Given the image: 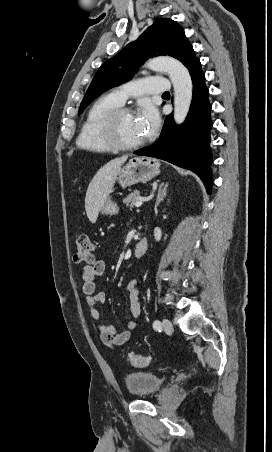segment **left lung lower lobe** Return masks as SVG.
<instances>
[{
  "mask_svg": "<svg viewBox=\"0 0 272 452\" xmlns=\"http://www.w3.org/2000/svg\"><path fill=\"white\" fill-rule=\"evenodd\" d=\"M182 63L189 69L193 83V100L185 122L176 126L168 115L157 142L135 152L136 155L156 157L196 173L210 194L212 187L209 130L211 105L209 91L200 61L191 48Z\"/></svg>",
  "mask_w": 272,
  "mask_h": 452,
  "instance_id": "0a47b994",
  "label": "left lung lower lobe"
}]
</instances>
